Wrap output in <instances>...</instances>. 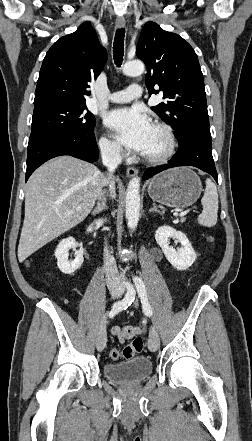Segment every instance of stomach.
<instances>
[{
	"instance_id": "1",
	"label": "stomach",
	"mask_w": 252,
	"mask_h": 441,
	"mask_svg": "<svg viewBox=\"0 0 252 441\" xmlns=\"http://www.w3.org/2000/svg\"><path fill=\"white\" fill-rule=\"evenodd\" d=\"M202 192L197 174L187 167L169 169L151 179L148 194L153 201L173 208L194 204Z\"/></svg>"
}]
</instances>
